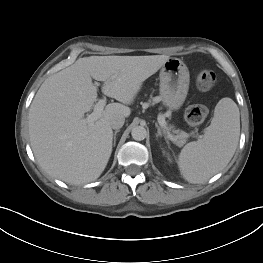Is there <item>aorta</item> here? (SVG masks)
<instances>
[{"mask_svg": "<svg viewBox=\"0 0 263 263\" xmlns=\"http://www.w3.org/2000/svg\"><path fill=\"white\" fill-rule=\"evenodd\" d=\"M132 138L136 141H142L147 136V131L143 126H136L131 131Z\"/></svg>", "mask_w": 263, "mask_h": 263, "instance_id": "aorta-1", "label": "aorta"}]
</instances>
